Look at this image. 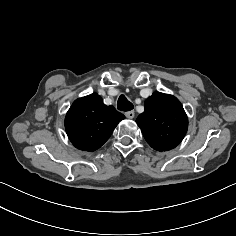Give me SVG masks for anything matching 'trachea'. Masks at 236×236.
Instances as JSON below:
<instances>
[{
	"instance_id": "3493384b",
	"label": "trachea",
	"mask_w": 236,
	"mask_h": 236,
	"mask_svg": "<svg viewBox=\"0 0 236 236\" xmlns=\"http://www.w3.org/2000/svg\"><path fill=\"white\" fill-rule=\"evenodd\" d=\"M117 108L120 111H130L134 108V106L124 95H121L117 102Z\"/></svg>"
}]
</instances>
